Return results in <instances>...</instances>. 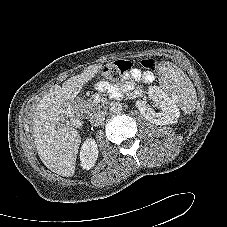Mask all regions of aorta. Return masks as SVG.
Listing matches in <instances>:
<instances>
[{
  "label": "aorta",
  "mask_w": 227,
  "mask_h": 227,
  "mask_svg": "<svg viewBox=\"0 0 227 227\" xmlns=\"http://www.w3.org/2000/svg\"><path fill=\"white\" fill-rule=\"evenodd\" d=\"M109 110L112 113H119L122 110V105L118 101L111 102Z\"/></svg>",
  "instance_id": "1"
}]
</instances>
